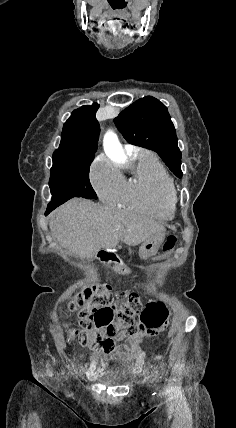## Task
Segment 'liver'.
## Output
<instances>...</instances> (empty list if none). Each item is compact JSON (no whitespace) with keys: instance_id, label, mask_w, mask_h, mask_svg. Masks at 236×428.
Returning <instances> with one entry per match:
<instances>
[{"instance_id":"liver-1","label":"liver","mask_w":236,"mask_h":428,"mask_svg":"<svg viewBox=\"0 0 236 428\" xmlns=\"http://www.w3.org/2000/svg\"><path fill=\"white\" fill-rule=\"evenodd\" d=\"M53 238L79 258H95L100 250H112L119 242L138 246L164 234L165 228L152 218L132 212H117L92 200L73 198L49 216Z\"/></svg>"}]
</instances>
